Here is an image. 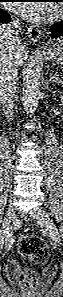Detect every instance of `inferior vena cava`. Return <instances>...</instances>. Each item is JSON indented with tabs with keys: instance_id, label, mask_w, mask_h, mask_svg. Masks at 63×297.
<instances>
[{
	"instance_id": "602c4592",
	"label": "inferior vena cava",
	"mask_w": 63,
	"mask_h": 297,
	"mask_svg": "<svg viewBox=\"0 0 63 297\" xmlns=\"http://www.w3.org/2000/svg\"><path fill=\"white\" fill-rule=\"evenodd\" d=\"M21 30L17 20L8 25H2V33L8 35L9 46L0 56V102L4 115L8 120L12 119L13 100L16 95V81L18 75V63L16 46L20 44L18 32Z\"/></svg>"
}]
</instances>
